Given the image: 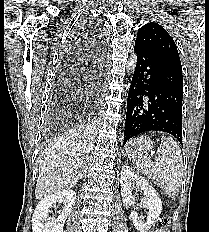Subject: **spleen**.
Returning <instances> with one entry per match:
<instances>
[{"mask_svg": "<svg viewBox=\"0 0 209 232\" xmlns=\"http://www.w3.org/2000/svg\"><path fill=\"white\" fill-rule=\"evenodd\" d=\"M161 160L153 162L142 154L132 155L138 171L153 179L167 196L174 198L180 189L183 177V157L177 142L171 137H161L157 149Z\"/></svg>", "mask_w": 209, "mask_h": 232, "instance_id": "3e777b00", "label": "spleen"}]
</instances>
